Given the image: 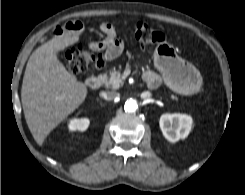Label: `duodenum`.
Returning <instances> with one entry per match:
<instances>
[{
	"mask_svg": "<svg viewBox=\"0 0 245 195\" xmlns=\"http://www.w3.org/2000/svg\"><path fill=\"white\" fill-rule=\"evenodd\" d=\"M146 85L151 88L155 89L159 86L158 81L152 80V81H146ZM103 83V78L101 76H90L86 79V85L91 89L99 88Z\"/></svg>",
	"mask_w": 245,
	"mask_h": 195,
	"instance_id": "obj_1",
	"label": "duodenum"
}]
</instances>
